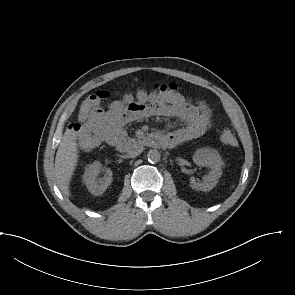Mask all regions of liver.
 Here are the masks:
<instances>
[{"instance_id": "1", "label": "liver", "mask_w": 295, "mask_h": 295, "mask_svg": "<svg viewBox=\"0 0 295 295\" xmlns=\"http://www.w3.org/2000/svg\"><path fill=\"white\" fill-rule=\"evenodd\" d=\"M78 160V146L72 130L67 129L55 157L57 185L65 196L70 195L69 185Z\"/></svg>"}]
</instances>
